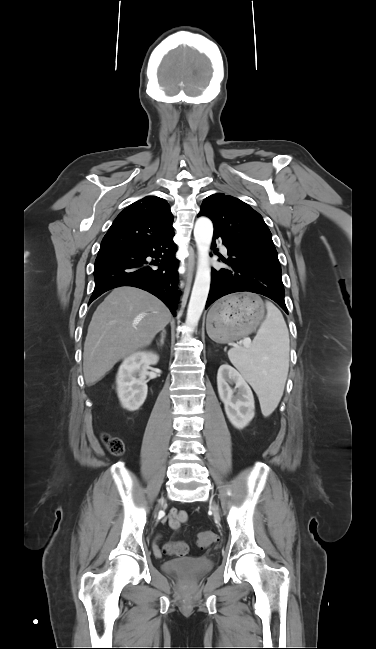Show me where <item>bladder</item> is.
<instances>
[{
  "mask_svg": "<svg viewBox=\"0 0 376 649\" xmlns=\"http://www.w3.org/2000/svg\"><path fill=\"white\" fill-rule=\"evenodd\" d=\"M212 566L213 561L211 559L185 557L164 562L162 569L170 574L182 575L188 579H197L208 572Z\"/></svg>",
  "mask_w": 376,
  "mask_h": 649,
  "instance_id": "31cf9c89",
  "label": "bladder"
}]
</instances>
